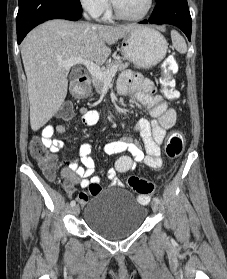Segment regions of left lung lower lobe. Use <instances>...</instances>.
<instances>
[{"instance_id":"left-lung-lower-lobe-1","label":"left lung lower lobe","mask_w":227,"mask_h":279,"mask_svg":"<svg viewBox=\"0 0 227 279\" xmlns=\"http://www.w3.org/2000/svg\"><path fill=\"white\" fill-rule=\"evenodd\" d=\"M148 20L139 23L171 24L180 28L191 39L192 20L187 0H159Z\"/></svg>"}]
</instances>
